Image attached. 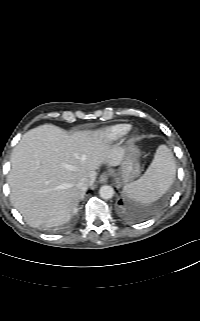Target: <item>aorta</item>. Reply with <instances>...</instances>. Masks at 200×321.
<instances>
[{"mask_svg":"<svg viewBox=\"0 0 200 321\" xmlns=\"http://www.w3.org/2000/svg\"><path fill=\"white\" fill-rule=\"evenodd\" d=\"M99 194L102 199L108 200L114 196V189L109 185H103L99 190Z\"/></svg>","mask_w":200,"mask_h":321,"instance_id":"762f6f07","label":"aorta"}]
</instances>
